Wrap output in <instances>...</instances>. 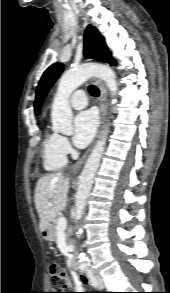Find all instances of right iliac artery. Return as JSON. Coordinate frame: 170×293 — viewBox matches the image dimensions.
I'll return each mask as SVG.
<instances>
[{
  "label": "right iliac artery",
  "instance_id": "right-iliac-artery-1",
  "mask_svg": "<svg viewBox=\"0 0 170 293\" xmlns=\"http://www.w3.org/2000/svg\"><path fill=\"white\" fill-rule=\"evenodd\" d=\"M81 272H85V269H82Z\"/></svg>",
  "mask_w": 170,
  "mask_h": 293
}]
</instances>
